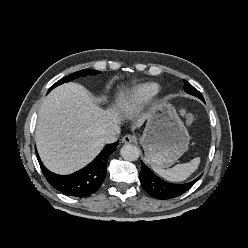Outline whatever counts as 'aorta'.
Wrapping results in <instances>:
<instances>
[{"label":"aorta","instance_id":"762f6f07","mask_svg":"<svg viewBox=\"0 0 248 248\" xmlns=\"http://www.w3.org/2000/svg\"><path fill=\"white\" fill-rule=\"evenodd\" d=\"M121 156L128 161H135L139 158L140 150L138 147L126 144L120 150Z\"/></svg>","mask_w":248,"mask_h":248}]
</instances>
